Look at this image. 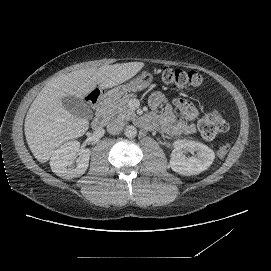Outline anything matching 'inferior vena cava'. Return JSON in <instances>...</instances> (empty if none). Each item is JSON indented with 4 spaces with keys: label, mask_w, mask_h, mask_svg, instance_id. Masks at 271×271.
Returning a JSON list of instances; mask_svg holds the SVG:
<instances>
[{
    "label": "inferior vena cava",
    "mask_w": 271,
    "mask_h": 271,
    "mask_svg": "<svg viewBox=\"0 0 271 271\" xmlns=\"http://www.w3.org/2000/svg\"><path fill=\"white\" fill-rule=\"evenodd\" d=\"M124 125V122L120 119H111L107 125V131L110 134H118L123 130Z\"/></svg>",
    "instance_id": "obj_1"
}]
</instances>
